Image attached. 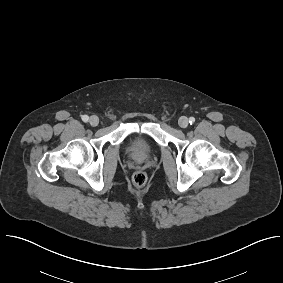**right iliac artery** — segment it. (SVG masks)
Returning <instances> with one entry per match:
<instances>
[{"label": "right iliac artery", "instance_id": "1", "mask_svg": "<svg viewBox=\"0 0 283 283\" xmlns=\"http://www.w3.org/2000/svg\"><path fill=\"white\" fill-rule=\"evenodd\" d=\"M82 120H83L84 122H88L89 117H88L87 115H84V116H82Z\"/></svg>", "mask_w": 283, "mask_h": 283}]
</instances>
